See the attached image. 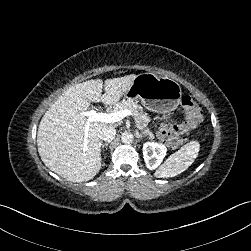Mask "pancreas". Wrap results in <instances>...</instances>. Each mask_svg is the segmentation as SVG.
I'll use <instances>...</instances> for the list:
<instances>
[{
    "label": "pancreas",
    "instance_id": "obj_1",
    "mask_svg": "<svg viewBox=\"0 0 251 251\" xmlns=\"http://www.w3.org/2000/svg\"><path fill=\"white\" fill-rule=\"evenodd\" d=\"M124 109H128L132 112V115L136 121V125L139 129H144L145 125L150 122V117L143 111V107L138 104L137 100L127 99L116 104L115 110ZM143 134L148 136L150 140L155 138L154 134L149 129L143 130Z\"/></svg>",
    "mask_w": 251,
    "mask_h": 251
}]
</instances>
